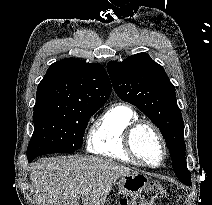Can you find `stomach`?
I'll return each mask as SVG.
<instances>
[{
    "mask_svg": "<svg viewBox=\"0 0 212 205\" xmlns=\"http://www.w3.org/2000/svg\"><path fill=\"white\" fill-rule=\"evenodd\" d=\"M148 184V178L144 174L132 173L120 177L117 182L119 191L125 197H132L137 193L141 192L144 187Z\"/></svg>",
    "mask_w": 212,
    "mask_h": 205,
    "instance_id": "0dacf381",
    "label": "stomach"
}]
</instances>
